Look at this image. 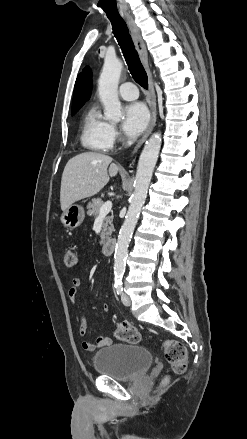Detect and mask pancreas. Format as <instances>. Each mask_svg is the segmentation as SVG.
Masks as SVG:
<instances>
[{"label":"pancreas","instance_id":"cf45deb5","mask_svg":"<svg viewBox=\"0 0 247 439\" xmlns=\"http://www.w3.org/2000/svg\"><path fill=\"white\" fill-rule=\"evenodd\" d=\"M102 205H103V201L100 198L92 199V202H89L87 205V214L89 216H93L94 218H97L99 216L100 208ZM112 222H113V215L106 216L104 218L103 229L100 234L103 240L111 236L112 231L114 229Z\"/></svg>","mask_w":247,"mask_h":439}]
</instances>
